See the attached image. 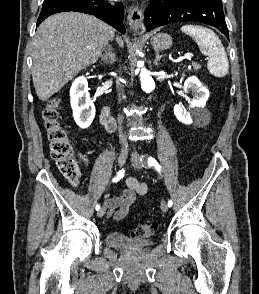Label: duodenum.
<instances>
[{"label": "duodenum", "instance_id": "duodenum-1", "mask_svg": "<svg viewBox=\"0 0 259 294\" xmlns=\"http://www.w3.org/2000/svg\"><path fill=\"white\" fill-rule=\"evenodd\" d=\"M100 122L108 129L114 130L116 128V122L110 113L108 107L104 106L100 113Z\"/></svg>", "mask_w": 259, "mask_h": 294}]
</instances>
